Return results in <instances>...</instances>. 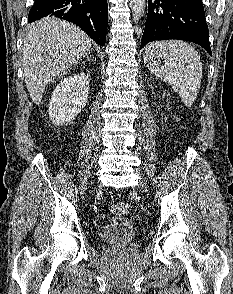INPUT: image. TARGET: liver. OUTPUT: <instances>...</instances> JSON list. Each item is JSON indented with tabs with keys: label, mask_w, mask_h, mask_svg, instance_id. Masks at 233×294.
<instances>
[{
	"label": "liver",
	"mask_w": 233,
	"mask_h": 294,
	"mask_svg": "<svg viewBox=\"0 0 233 294\" xmlns=\"http://www.w3.org/2000/svg\"><path fill=\"white\" fill-rule=\"evenodd\" d=\"M92 41L74 24L46 18L31 25L24 39L22 65L31 99L39 105L46 85L77 63Z\"/></svg>",
	"instance_id": "obj_1"
}]
</instances>
